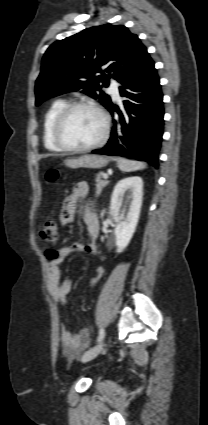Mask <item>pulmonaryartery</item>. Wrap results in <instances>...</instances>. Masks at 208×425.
<instances>
[{
	"label": "pulmonary artery",
	"instance_id": "e3ab8cb5",
	"mask_svg": "<svg viewBox=\"0 0 208 425\" xmlns=\"http://www.w3.org/2000/svg\"><path fill=\"white\" fill-rule=\"evenodd\" d=\"M109 91L115 99L120 98V93H119L117 86L111 85L110 88H109Z\"/></svg>",
	"mask_w": 208,
	"mask_h": 425
}]
</instances>
